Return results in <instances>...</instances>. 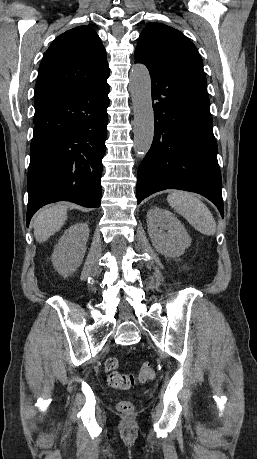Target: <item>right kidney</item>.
Wrapping results in <instances>:
<instances>
[{
  "label": "right kidney",
  "mask_w": 257,
  "mask_h": 459,
  "mask_svg": "<svg viewBox=\"0 0 257 459\" xmlns=\"http://www.w3.org/2000/svg\"><path fill=\"white\" fill-rule=\"evenodd\" d=\"M88 238L86 223H76L64 232L52 254L53 266L60 275L68 277L81 265Z\"/></svg>",
  "instance_id": "ca27d5eb"
}]
</instances>
